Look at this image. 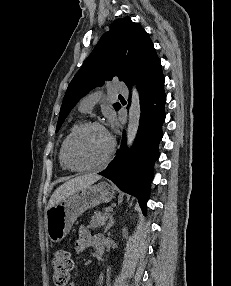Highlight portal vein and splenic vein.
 I'll list each match as a JSON object with an SVG mask.
<instances>
[{"instance_id":"obj_1","label":"portal vein and splenic vein","mask_w":231,"mask_h":286,"mask_svg":"<svg viewBox=\"0 0 231 286\" xmlns=\"http://www.w3.org/2000/svg\"><path fill=\"white\" fill-rule=\"evenodd\" d=\"M113 210V208L112 207H108V208H106V212H111Z\"/></svg>"}]
</instances>
